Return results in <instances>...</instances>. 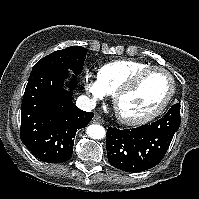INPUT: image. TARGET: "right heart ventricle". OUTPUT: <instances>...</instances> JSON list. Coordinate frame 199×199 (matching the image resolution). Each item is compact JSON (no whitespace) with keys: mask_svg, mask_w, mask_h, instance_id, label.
<instances>
[{"mask_svg":"<svg viewBox=\"0 0 199 199\" xmlns=\"http://www.w3.org/2000/svg\"><path fill=\"white\" fill-rule=\"evenodd\" d=\"M151 65L137 60H116L102 65L97 71V79L112 94L136 71Z\"/></svg>","mask_w":199,"mask_h":199,"instance_id":"right-heart-ventricle-1","label":"right heart ventricle"}]
</instances>
